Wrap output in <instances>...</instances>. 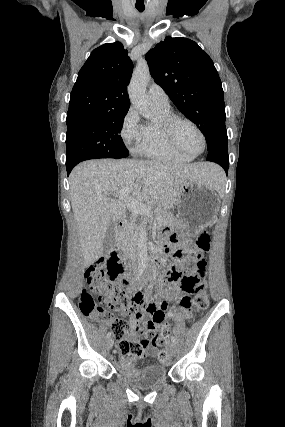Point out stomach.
Returning <instances> with one entry per match:
<instances>
[{
  "mask_svg": "<svg viewBox=\"0 0 285 427\" xmlns=\"http://www.w3.org/2000/svg\"><path fill=\"white\" fill-rule=\"evenodd\" d=\"M176 201L178 216L175 228L189 234H196L209 226L217 217L220 206L216 189L203 182L182 186Z\"/></svg>",
  "mask_w": 285,
  "mask_h": 427,
  "instance_id": "obj_1",
  "label": "stomach"
}]
</instances>
